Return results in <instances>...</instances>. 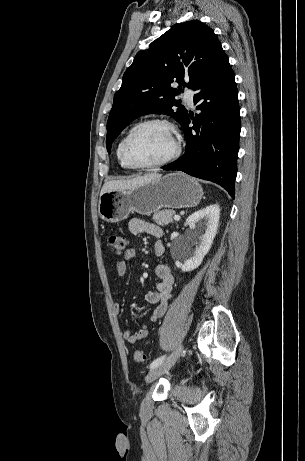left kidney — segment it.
<instances>
[{
  "mask_svg": "<svg viewBox=\"0 0 305 461\" xmlns=\"http://www.w3.org/2000/svg\"><path fill=\"white\" fill-rule=\"evenodd\" d=\"M220 218V208L217 204H211L190 215L186 224L191 230L200 236L201 241L195 250L190 254L188 259L183 263L176 261L175 265L184 272L192 271L200 266L205 255L209 252L213 240L217 233ZM205 231V232H204ZM183 249H190V246H183Z\"/></svg>",
  "mask_w": 305,
  "mask_h": 461,
  "instance_id": "obj_1",
  "label": "left kidney"
}]
</instances>
